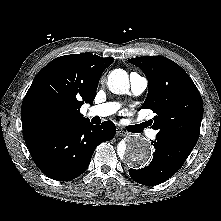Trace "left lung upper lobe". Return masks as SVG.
<instances>
[{"mask_svg": "<svg viewBox=\"0 0 221 221\" xmlns=\"http://www.w3.org/2000/svg\"><path fill=\"white\" fill-rule=\"evenodd\" d=\"M139 67L149 83L143 109L156 116L152 128L165 137L194 148L203 117L201 95L188 74L172 60L162 56L128 60Z\"/></svg>", "mask_w": 221, "mask_h": 221, "instance_id": "1", "label": "left lung upper lobe"}]
</instances>
